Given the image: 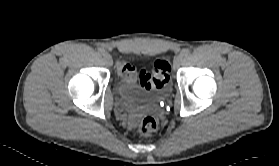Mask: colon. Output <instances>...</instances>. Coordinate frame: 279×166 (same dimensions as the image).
Returning a JSON list of instances; mask_svg holds the SVG:
<instances>
[{
    "mask_svg": "<svg viewBox=\"0 0 279 166\" xmlns=\"http://www.w3.org/2000/svg\"><path fill=\"white\" fill-rule=\"evenodd\" d=\"M171 65L168 59H159L154 63L152 73L141 71L138 75V82L145 90H161L169 81V73ZM158 128V122L154 117H145L139 126V134L141 136H149Z\"/></svg>",
    "mask_w": 279,
    "mask_h": 166,
    "instance_id": "obj_1",
    "label": "colon"
}]
</instances>
